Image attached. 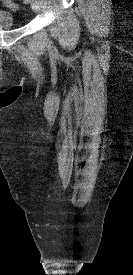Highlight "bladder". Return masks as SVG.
I'll list each match as a JSON object with an SVG mask.
<instances>
[{
    "label": "bladder",
    "instance_id": "31cf9c89",
    "mask_svg": "<svg viewBox=\"0 0 133 275\" xmlns=\"http://www.w3.org/2000/svg\"><path fill=\"white\" fill-rule=\"evenodd\" d=\"M17 26V22L12 13L6 10L0 9V29H14Z\"/></svg>",
    "mask_w": 133,
    "mask_h": 275
}]
</instances>
